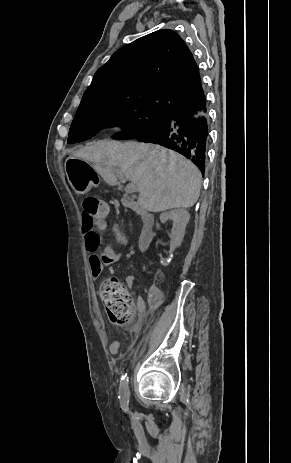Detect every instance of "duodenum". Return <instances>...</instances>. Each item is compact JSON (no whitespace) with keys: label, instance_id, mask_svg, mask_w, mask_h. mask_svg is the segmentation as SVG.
<instances>
[{"label":"duodenum","instance_id":"1","mask_svg":"<svg viewBox=\"0 0 291 463\" xmlns=\"http://www.w3.org/2000/svg\"><path fill=\"white\" fill-rule=\"evenodd\" d=\"M122 201L124 202L125 205L130 206V210L132 212H136L137 214H140L142 212L143 206L138 205L137 203L131 204L128 197L123 196ZM141 217H142V230H141L138 244H139V249L143 251L149 247L150 243L153 240L155 220H154V217L147 212H142Z\"/></svg>","mask_w":291,"mask_h":463}]
</instances>
